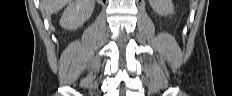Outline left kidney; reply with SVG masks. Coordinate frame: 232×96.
<instances>
[{
	"mask_svg": "<svg viewBox=\"0 0 232 96\" xmlns=\"http://www.w3.org/2000/svg\"><path fill=\"white\" fill-rule=\"evenodd\" d=\"M149 3L159 15H170L174 12L172 0H149Z\"/></svg>",
	"mask_w": 232,
	"mask_h": 96,
	"instance_id": "1",
	"label": "left kidney"
}]
</instances>
